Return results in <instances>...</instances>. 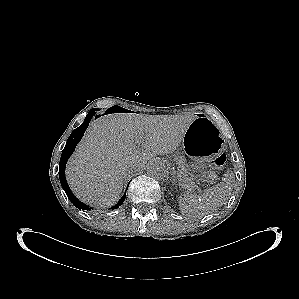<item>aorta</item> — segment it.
I'll return each instance as SVG.
<instances>
[{"instance_id": "aorta-1", "label": "aorta", "mask_w": 299, "mask_h": 299, "mask_svg": "<svg viewBox=\"0 0 299 299\" xmlns=\"http://www.w3.org/2000/svg\"><path fill=\"white\" fill-rule=\"evenodd\" d=\"M148 174L156 179H163L167 175V169L164 163L155 161L148 166Z\"/></svg>"}]
</instances>
